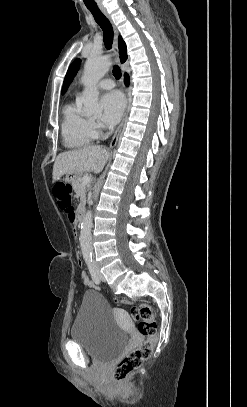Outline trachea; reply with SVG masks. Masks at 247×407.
<instances>
[{
	"label": "trachea",
	"mask_w": 247,
	"mask_h": 407,
	"mask_svg": "<svg viewBox=\"0 0 247 407\" xmlns=\"http://www.w3.org/2000/svg\"><path fill=\"white\" fill-rule=\"evenodd\" d=\"M87 8L92 13L96 23L103 30L105 47L110 50L113 41V28L110 21L104 16L97 6H87ZM113 76L116 79L121 78V70L117 65H114L113 67Z\"/></svg>",
	"instance_id": "trachea-1"
}]
</instances>
